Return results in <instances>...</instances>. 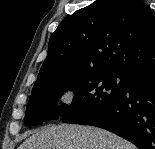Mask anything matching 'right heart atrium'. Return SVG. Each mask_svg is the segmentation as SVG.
Returning a JSON list of instances; mask_svg holds the SVG:
<instances>
[{
    "instance_id": "right-heart-atrium-1",
    "label": "right heart atrium",
    "mask_w": 155,
    "mask_h": 149,
    "mask_svg": "<svg viewBox=\"0 0 155 149\" xmlns=\"http://www.w3.org/2000/svg\"><path fill=\"white\" fill-rule=\"evenodd\" d=\"M76 98V92L72 88H65L59 95V100L65 105H71Z\"/></svg>"
}]
</instances>
